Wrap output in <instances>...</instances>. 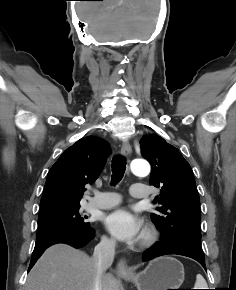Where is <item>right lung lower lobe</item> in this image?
<instances>
[{"label": "right lung lower lobe", "mask_w": 236, "mask_h": 290, "mask_svg": "<svg viewBox=\"0 0 236 290\" xmlns=\"http://www.w3.org/2000/svg\"><path fill=\"white\" fill-rule=\"evenodd\" d=\"M94 237V230L87 228L53 232L42 237H36L35 248L32 253L29 270L33 267L44 250L55 243H66L75 248L83 247ZM28 270V271H29Z\"/></svg>", "instance_id": "98d812e1"}]
</instances>
